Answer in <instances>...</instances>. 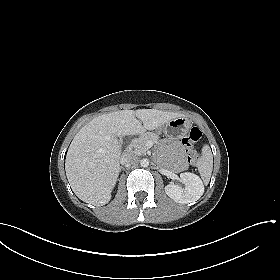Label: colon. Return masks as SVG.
Returning <instances> with one entry per match:
<instances>
[{
    "label": "colon",
    "instance_id": "1",
    "mask_svg": "<svg viewBox=\"0 0 280 280\" xmlns=\"http://www.w3.org/2000/svg\"><path fill=\"white\" fill-rule=\"evenodd\" d=\"M201 135V131L197 127H193L190 129L187 136L183 139V144L185 146L186 152V159L191 164H194L199 157V154L195 150L194 145L200 140Z\"/></svg>",
    "mask_w": 280,
    "mask_h": 280
}]
</instances>
